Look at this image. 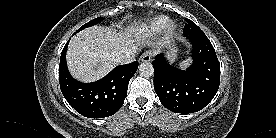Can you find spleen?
<instances>
[{"label":"spleen","instance_id":"1","mask_svg":"<svg viewBox=\"0 0 276 138\" xmlns=\"http://www.w3.org/2000/svg\"><path fill=\"white\" fill-rule=\"evenodd\" d=\"M188 62H189V60L186 59V60H184L183 62H180V63H179V66H180L181 68L185 69V68L188 66V64H189Z\"/></svg>","mask_w":276,"mask_h":138}]
</instances>
